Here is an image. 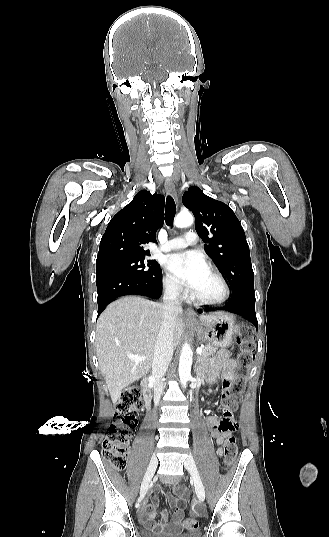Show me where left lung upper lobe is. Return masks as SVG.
Returning a JSON list of instances; mask_svg holds the SVG:
<instances>
[{
    "label": "left lung upper lobe",
    "mask_w": 329,
    "mask_h": 537,
    "mask_svg": "<svg viewBox=\"0 0 329 537\" xmlns=\"http://www.w3.org/2000/svg\"><path fill=\"white\" fill-rule=\"evenodd\" d=\"M183 204L195 216V229L204 249L229 282L232 297L254 295V273L244 230L232 209L192 186Z\"/></svg>",
    "instance_id": "left-lung-upper-lobe-1"
}]
</instances>
